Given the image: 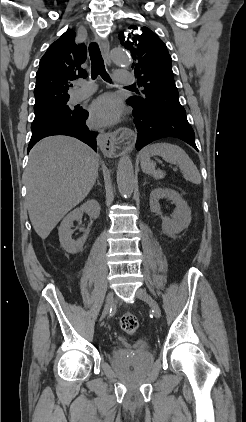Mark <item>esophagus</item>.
I'll use <instances>...</instances> for the list:
<instances>
[{"instance_id":"1","label":"esophagus","mask_w":246,"mask_h":422,"mask_svg":"<svg viewBox=\"0 0 246 422\" xmlns=\"http://www.w3.org/2000/svg\"><path fill=\"white\" fill-rule=\"evenodd\" d=\"M98 42L105 62L111 65L109 41L107 39H98ZM98 143L105 155L111 156L116 154L119 142L114 134L101 131L98 136Z\"/></svg>"}]
</instances>
